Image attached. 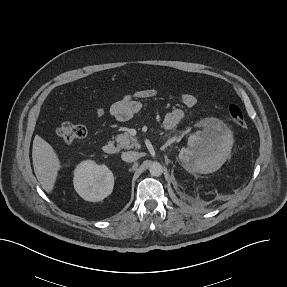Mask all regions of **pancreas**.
I'll return each mask as SVG.
<instances>
[{"mask_svg": "<svg viewBox=\"0 0 287 287\" xmlns=\"http://www.w3.org/2000/svg\"><path fill=\"white\" fill-rule=\"evenodd\" d=\"M116 142L119 149L140 148V144L137 139L129 135L127 132L118 134L116 136Z\"/></svg>", "mask_w": 287, "mask_h": 287, "instance_id": "pancreas-1", "label": "pancreas"}]
</instances>
